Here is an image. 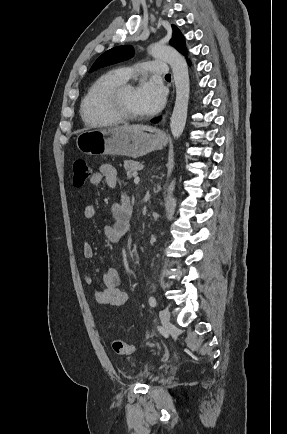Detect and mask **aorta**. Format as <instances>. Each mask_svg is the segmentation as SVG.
<instances>
[{"instance_id": "762f6f07", "label": "aorta", "mask_w": 287, "mask_h": 434, "mask_svg": "<svg viewBox=\"0 0 287 434\" xmlns=\"http://www.w3.org/2000/svg\"><path fill=\"white\" fill-rule=\"evenodd\" d=\"M149 53L158 59L166 61L172 68L175 87L176 100L170 118V129L174 138L178 139L185 128L188 101L190 93L188 66L184 57L174 48L161 43L152 44ZM175 188V180L169 186V193Z\"/></svg>"}]
</instances>
